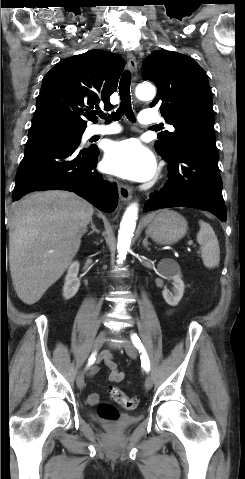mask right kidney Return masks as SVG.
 <instances>
[{"label": "right kidney", "instance_id": "obj_1", "mask_svg": "<svg viewBox=\"0 0 245 479\" xmlns=\"http://www.w3.org/2000/svg\"><path fill=\"white\" fill-rule=\"evenodd\" d=\"M79 262L75 261L68 268L63 287V297L66 300L71 299L78 292L80 287V280L78 279Z\"/></svg>", "mask_w": 245, "mask_h": 479}]
</instances>
